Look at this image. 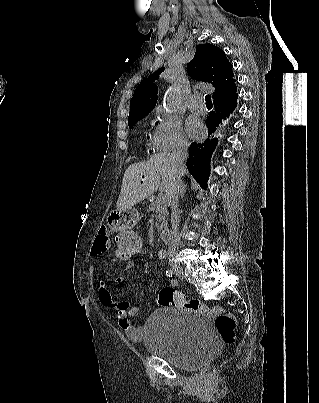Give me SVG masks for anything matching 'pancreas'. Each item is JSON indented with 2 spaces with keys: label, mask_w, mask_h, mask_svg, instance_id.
<instances>
[{
  "label": "pancreas",
  "mask_w": 319,
  "mask_h": 403,
  "mask_svg": "<svg viewBox=\"0 0 319 403\" xmlns=\"http://www.w3.org/2000/svg\"><path fill=\"white\" fill-rule=\"evenodd\" d=\"M149 210L156 214V228L158 231L166 229L168 210L163 201L155 200L150 203Z\"/></svg>",
  "instance_id": "obj_1"
}]
</instances>
